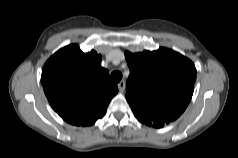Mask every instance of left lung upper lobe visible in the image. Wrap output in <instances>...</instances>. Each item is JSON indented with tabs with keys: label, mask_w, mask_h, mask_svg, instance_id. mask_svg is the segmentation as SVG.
Instances as JSON below:
<instances>
[{
	"label": "left lung upper lobe",
	"mask_w": 238,
	"mask_h": 158,
	"mask_svg": "<svg viewBox=\"0 0 238 158\" xmlns=\"http://www.w3.org/2000/svg\"><path fill=\"white\" fill-rule=\"evenodd\" d=\"M130 69L126 99L136 118L174 121L189 104L196 80L191 60L167 49L125 52Z\"/></svg>",
	"instance_id": "left-lung-upper-lobe-1"
}]
</instances>
